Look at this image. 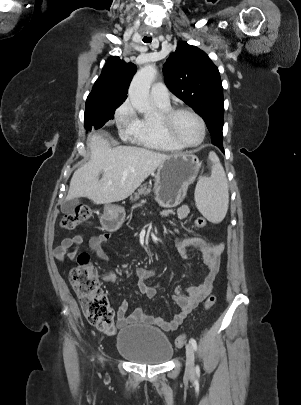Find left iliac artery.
Instances as JSON below:
<instances>
[{
	"mask_svg": "<svg viewBox=\"0 0 301 405\" xmlns=\"http://www.w3.org/2000/svg\"><path fill=\"white\" fill-rule=\"evenodd\" d=\"M190 343H191V345L193 346L194 350L196 351V350H197V343H196V340L193 339V338H191V339H190Z\"/></svg>",
	"mask_w": 301,
	"mask_h": 405,
	"instance_id": "obj_1",
	"label": "left iliac artery"
}]
</instances>
